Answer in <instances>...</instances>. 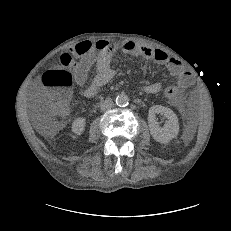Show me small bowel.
Wrapping results in <instances>:
<instances>
[{
  "label": "small bowel",
  "mask_w": 231,
  "mask_h": 231,
  "mask_svg": "<svg viewBox=\"0 0 231 231\" xmlns=\"http://www.w3.org/2000/svg\"><path fill=\"white\" fill-rule=\"evenodd\" d=\"M118 50L133 57L153 60L158 64L164 65L177 78L175 86L179 90L188 88L192 83L191 74L185 70L179 60L169 56L163 50L148 45H140L130 40H122L120 42L99 40L94 44L81 42L64 53L61 56V62L73 71L76 84L84 87L82 91L83 96L93 98L102 86L114 78L115 70L111 66V61L113 55ZM76 56L80 58L79 61L74 60ZM94 63L97 64V72L88 81V73ZM160 89L161 85L158 82L149 83L143 88L144 92L148 94L157 93ZM171 101L173 103L180 102L178 98Z\"/></svg>",
  "instance_id": "1"
}]
</instances>
